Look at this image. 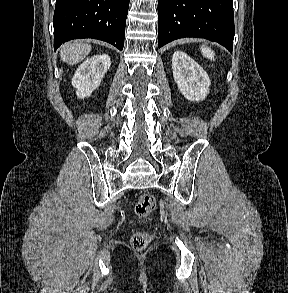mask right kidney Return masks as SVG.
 <instances>
[{"mask_svg": "<svg viewBox=\"0 0 288 293\" xmlns=\"http://www.w3.org/2000/svg\"><path fill=\"white\" fill-rule=\"evenodd\" d=\"M110 65V57L106 54L96 55L84 61L72 79V86L77 89V97L83 99L90 96L99 87Z\"/></svg>", "mask_w": 288, "mask_h": 293, "instance_id": "1", "label": "right kidney"}]
</instances>
